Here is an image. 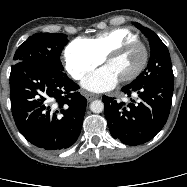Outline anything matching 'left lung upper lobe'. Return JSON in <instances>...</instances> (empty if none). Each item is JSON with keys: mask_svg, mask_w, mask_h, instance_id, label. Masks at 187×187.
I'll return each mask as SVG.
<instances>
[{"mask_svg": "<svg viewBox=\"0 0 187 187\" xmlns=\"http://www.w3.org/2000/svg\"><path fill=\"white\" fill-rule=\"evenodd\" d=\"M134 25L148 37L151 56L146 69L129 85L138 86L150 82L173 81L174 75L170 54L165 44L152 30L143 27L139 23Z\"/></svg>", "mask_w": 187, "mask_h": 187, "instance_id": "1", "label": "left lung upper lobe"}]
</instances>
